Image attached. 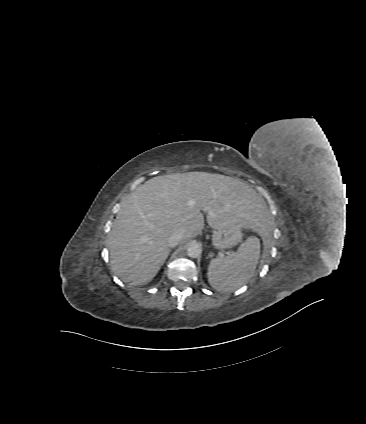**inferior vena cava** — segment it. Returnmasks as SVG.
I'll use <instances>...</instances> for the list:
<instances>
[{
  "label": "inferior vena cava",
  "mask_w": 366,
  "mask_h": 424,
  "mask_svg": "<svg viewBox=\"0 0 366 424\" xmlns=\"http://www.w3.org/2000/svg\"><path fill=\"white\" fill-rule=\"evenodd\" d=\"M183 238L182 232H175L168 238V246L169 247H175L177 246Z\"/></svg>",
  "instance_id": "1"
}]
</instances>
